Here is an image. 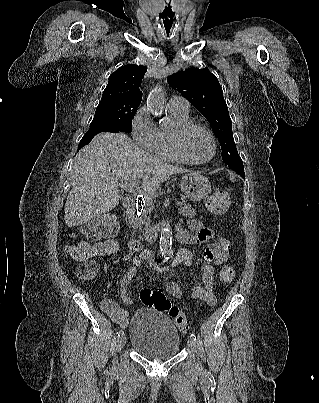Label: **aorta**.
Segmentation results:
<instances>
[{"label":"aorta","mask_w":319,"mask_h":403,"mask_svg":"<svg viewBox=\"0 0 319 403\" xmlns=\"http://www.w3.org/2000/svg\"><path fill=\"white\" fill-rule=\"evenodd\" d=\"M147 108L154 116H159L164 108V94L160 87L154 88L148 95ZM160 251L163 257L172 255V228L169 223L161 227L160 232Z\"/></svg>","instance_id":"aorta-1"}]
</instances>
